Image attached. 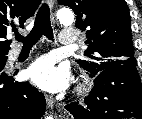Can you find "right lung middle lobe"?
<instances>
[{
    "instance_id": "dd1d6c3e",
    "label": "right lung middle lobe",
    "mask_w": 142,
    "mask_h": 119,
    "mask_svg": "<svg viewBox=\"0 0 142 119\" xmlns=\"http://www.w3.org/2000/svg\"><path fill=\"white\" fill-rule=\"evenodd\" d=\"M6 55L7 54H0V62L4 61L7 58Z\"/></svg>"
}]
</instances>
